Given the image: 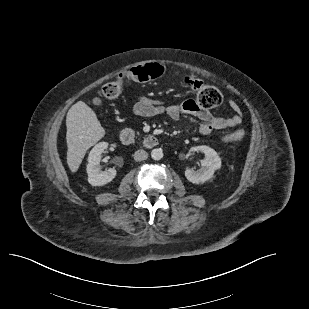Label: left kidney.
Wrapping results in <instances>:
<instances>
[{"label": "left kidney", "instance_id": "left-kidney-1", "mask_svg": "<svg viewBox=\"0 0 309 309\" xmlns=\"http://www.w3.org/2000/svg\"><path fill=\"white\" fill-rule=\"evenodd\" d=\"M190 151L202 152L205 158L201 161L202 167L199 170L194 171L190 168L185 170L188 181L194 184L204 183L213 177L216 170L221 168V159L211 147L205 145L195 146Z\"/></svg>", "mask_w": 309, "mask_h": 309}]
</instances>
